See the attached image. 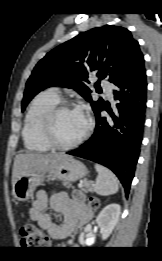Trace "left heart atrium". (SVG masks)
Instances as JSON below:
<instances>
[{
	"label": "left heart atrium",
	"instance_id": "39dd6f15",
	"mask_svg": "<svg viewBox=\"0 0 162 261\" xmlns=\"http://www.w3.org/2000/svg\"><path fill=\"white\" fill-rule=\"evenodd\" d=\"M77 112L81 115V117L84 119V121H85L86 124H87V123H88L87 112H86L83 108L77 109Z\"/></svg>",
	"mask_w": 162,
	"mask_h": 261
}]
</instances>
